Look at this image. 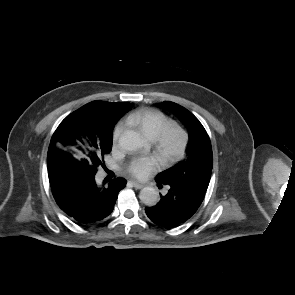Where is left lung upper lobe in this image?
I'll return each mask as SVG.
<instances>
[{"label":"left lung upper lobe","instance_id":"5c2ea615","mask_svg":"<svg viewBox=\"0 0 295 295\" xmlns=\"http://www.w3.org/2000/svg\"><path fill=\"white\" fill-rule=\"evenodd\" d=\"M163 105L188 126V144L185 158L159 173L156 180L163 184L174 182L196 190L204 189L206 192L213 167L210 138L200 121L187 109L168 101Z\"/></svg>","mask_w":295,"mask_h":295}]
</instances>
